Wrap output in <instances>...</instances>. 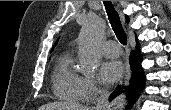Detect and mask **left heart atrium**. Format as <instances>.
I'll list each match as a JSON object with an SVG mask.
<instances>
[{
  "instance_id": "obj_1",
  "label": "left heart atrium",
  "mask_w": 171,
  "mask_h": 110,
  "mask_svg": "<svg viewBox=\"0 0 171 110\" xmlns=\"http://www.w3.org/2000/svg\"><path fill=\"white\" fill-rule=\"evenodd\" d=\"M124 74V66L118 60L105 61L100 69V77L105 83H114Z\"/></svg>"
}]
</instances>
